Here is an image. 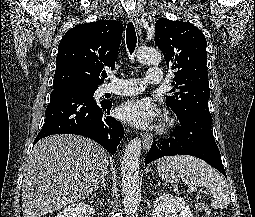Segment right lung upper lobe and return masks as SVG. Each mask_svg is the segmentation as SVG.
Here are the masks:
<instances>
[{
	"label": "right lung upper lobe",
	"mask_w": 255,
	"mask_h": 217,
	"mask_svg": "<svg viewBox=\"0 0 255 217\" xmlns=\"http://www.w3.org/2000/svg\"><path fill=\"white\" fill-rule=\"evenodd\" d=\"M123 25L115 20L79 24L61 39L56 57L53 88L64 85L97 87L101 71L113 69Z\"/></svg>",
	"instance_id": "obj_1"
}]
</instances>
